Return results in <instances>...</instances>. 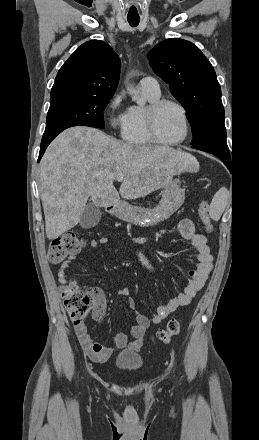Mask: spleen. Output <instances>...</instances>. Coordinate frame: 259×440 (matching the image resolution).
<instances>
[{
    "label": "spleen",
    "mask_w": 259,
    "mask_h": 440,
    "mask_svg": "<svg viewBox=\"0 0 259 440\" xmlns=\"http://www.w3.org/2000/svg\"><path fill=\"white\" fill-rule=\"evenodd\" d=\"M229 199L230 192L225 187L220 188L215 193L209 208V215L213 220L218 221L220 219Z\"/></svg>",
    "instance_id": "3e777b00"
}]
</instances>
